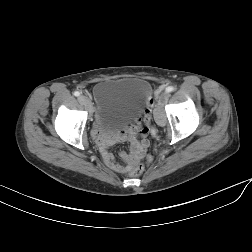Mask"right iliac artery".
<instances>
[{"label":"right iliac artery","mask_w":252,"mask_h":252,"mask_svg":"<svg viewBox=\"0 0 252 252\" xmlns=\"http://www.w3.org/2000/svg\"><path fill=\"white\" fill-rule=\"evenodd\" d=\"M74 95L78 97L80 95V93L78 91H75Z\"/></svg>","instance_id":"1"}]
</instances>
